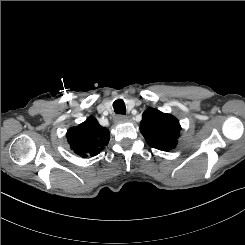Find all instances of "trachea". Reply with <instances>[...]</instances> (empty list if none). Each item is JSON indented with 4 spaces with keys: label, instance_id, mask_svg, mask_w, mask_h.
Returning <instances> with one entry per match:
<instances>
[{
    "label": "trachea",
    "instance_id": "trachea-1",
    "mask_svg": "<svg viewBox=\"0 0 245 245\" xmlns=\"http://www.w3.org/2000/svg\"><path fill=\"white\" fill-rule=\"evenodd\" d=\"M113 108L117 114H121V115L126 114V107H125V103L123 100L114 101Z\"/></svg>",
    "mask_w": 245,
    "mask_h": 245
}]
</instances>
